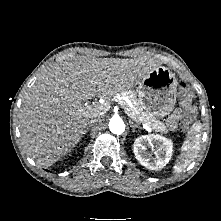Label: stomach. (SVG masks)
<instances>
[{"label":"stomach","mask_w":221,"mask_h":221,"mask_svg":"<svg viewBox=\"0 0 221 221\" xmlns=\"http://www.w3.org/2000/svg\"><path fill=\"white\" fill-rule=\"evenodd\" d=\"M142 110L155 118L171 113L177 98V80L169 68L159 66L150 71L137 88Z\"/></svg>","instance_id":"stomach-1"}]
</instances>
